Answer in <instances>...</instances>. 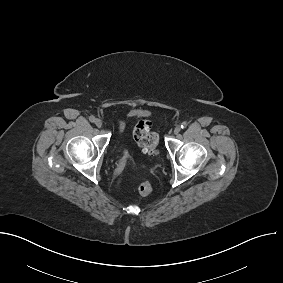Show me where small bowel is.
I'll list each match as a JSON object with an SVG mask.
<instances>
[{"mask_svg": "<svg viewBox=\"0 0 283 283\" xmlns=\"http://www.w3.org/2000/svg\"><path fill=\"white\" fill-rule=\"evenodd\" d=\"M124 127H125L124 123L120 121L118 124L119 131L122 132L124 130Z\"/></svg>", "mask_w": 283, "mask_h": 283, "instance_id": "small-bowel-1", "label": "small bowel"}]
</instances>
